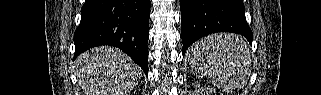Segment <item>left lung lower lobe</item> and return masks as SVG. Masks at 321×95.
<instances>
[{
  "mask_svg": "<svg viewBox=\"0 0 321 95\" xmlns=\"http://www.w3.org/2000/svg\"><path fill=\"white\" fill-rule=\"evenodd\" d=\"M180 8L183 55L192 43L211 33L233 32L253 40L242 0H181Z\"/></svg>",
  "mask_w": 321,
  "mask_h": 95,
  "instance_id": "0a47b994",
  "label": "left lung lower lobe"
}]
</instances>
